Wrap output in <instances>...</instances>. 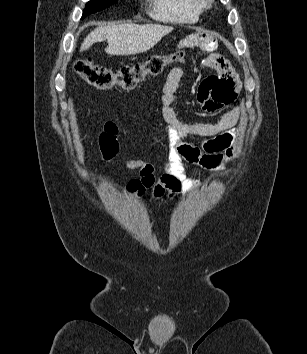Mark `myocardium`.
<instances>
[{
    "label": "myocardium",
    "mask_w": 307,
    "mask_h": 354,
    "mask_svg": "<svg viewBox=\"0 0 307 354\" xmlns=\"http://www.w3.org/2000/svg\"><path fill=\"white\" fill-rule=\"evenodd\" d=\"M197 1L200 10H204L210 6L212 0H197Z\"/></svg>",
    "instance_id": "obj_1"
}]
</instances>
